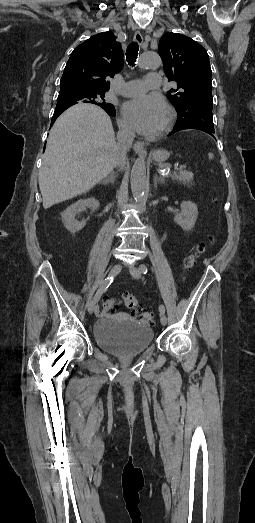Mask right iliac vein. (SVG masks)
Here are the masks:
<instances>
[{
	"mask_svg": "<svg viewBox=\"0 0 255 523\" xmlns=\"http://www.w3.org/2000/svg\"><path fill=\"white\" fill-rule=\"evenodd\" d=\"M122 269V265L120 263L115 264L112 269L110 270L109 276H116ZM96 309V301L93 298L89 304H88V311L89 313H93Z\"/></svg>",
	"mask_w": 255,
	"mask_h": 523,
	"instance_id": "63e3f726",
	"label": "right iliac vein"
}]
</instances>
